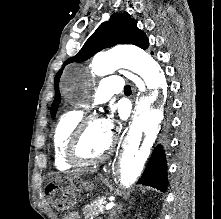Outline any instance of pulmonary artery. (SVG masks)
<instances>
[{
	"label": "pulmonary artery",
	"instance_id": "e3ab8cb5",
	"mask_svg": "<svg viewBox=\"0 0 221 219\" xmlns=\"http://www.w3.org/2000/svg\"><path fill=\"white\" fill-rule=\"evenodd\" d=\"M123 89L122 78L119 75H112L104 78L95 94L93 95V104H100L108 101L114 94H118Z\"/></svg>",
	"mask_w": 221,
	"mask_h": 219
}]
</instances>
